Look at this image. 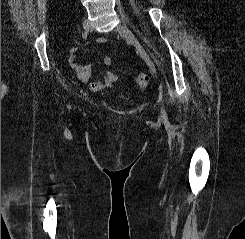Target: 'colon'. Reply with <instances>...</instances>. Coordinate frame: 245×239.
Listing matches in <instances>:
<instances>
[{
  "mask_svg": "<svg viewBox=\"0 0 245 239\" xmlns=\"http://www.w3.org/2000/svg\"><path fill=\"white\" fill-rule=\"evenodd\" d=\"M149 82H150V78L145 73H140L136 78V83L138 87L141 89H145L149 85Z\"/></svg>",
  "mask_w": 245,
  "mask_h": 239,
  "instance_id": "obj_1",
  "label": "colon"
}]
</instances>
